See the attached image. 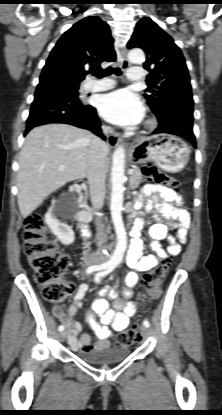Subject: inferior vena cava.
<instances>
[{
    "label": "inferior vena cava",
    "mask_w": 222,
    "mask_h": 415,
    "mask_svg": "<svg viewBox=\"0 0 222 415\" xmlns=\"http://www.w3.org/2000/svg\"><path fill=\"white\" fill-rule=\"evenodd\" d=\"M103 133L107 135L112 129L107 126L102 127ZM108 152V145L98 137L91 141L89 165H88V183L90 188V198L93 210L97 211L103 207L105 197V157ZM97 238L100 243L106 242L104 224L100 219L96 220ZM104 247L100 246L95 253L96 258L103 257Z\"/></svg>",
    "instance_id": "1"
}]
</instances>
